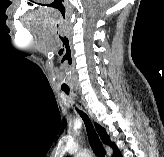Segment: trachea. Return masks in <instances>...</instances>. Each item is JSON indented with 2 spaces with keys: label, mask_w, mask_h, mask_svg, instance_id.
I'll return each mask as SVG.
<instances>
[{
  "label": "trachea",
  "mask_w": 164,
  "mask_h": 157,
  "mask_svg": "<svg viewBox=\"0 0 164 157\" xmlns=\"http://www.w3.org/2000/svg\"><path fill=\"white\" fill-rule=\"evenodd\" d=\"M64 92L66 94H69L68 89L64 90ZM78 112H79L80 116L82 117V119L85 123L89 143L93 149V152L97 155V157H105L104 147H103L101 141L99 140V137L97 136V134L94 130V127L91 123V120L89 119V117L84 112H82L80 110H78Z\"/></svg>",
  "instance_id": "obj_1"
}]
</instances>
